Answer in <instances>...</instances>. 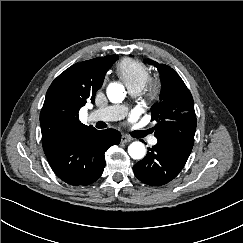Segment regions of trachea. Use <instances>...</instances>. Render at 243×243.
Returning a JSON list of instances; mask_svg holds the SVG:
<instances>
[{
    "label": "trachea",
    "instance_id": "1",
    "mask_svg": "<svg viewBox=\"0 0 243 243\" xmlns=\"http://www.w3.org/2000/svg\"><path fill=\"white\" fill-rule=\"evenodd\" d=\"M149 131H136L135 135L137 137H144Z\"/></svg>",
    "mask_w": 243,
    "mask_h": 243
}]
</instances>
